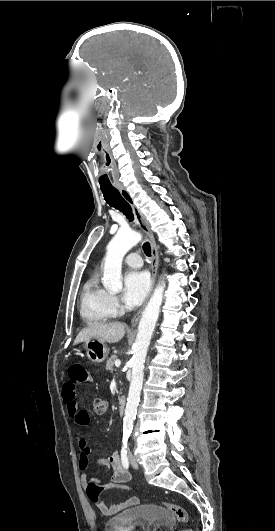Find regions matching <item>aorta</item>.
<instances>
[{"label": "aorta", "mask_w": 275, "mask_h": 531, "mask_svg": "<svg viewBox=\"0 0 275 531\" xmlns=\"http://www.w3.org/2000/svg\"><path fill=\"white\" fill-rule=\"evenodd\" d=\"M139 241H141V235L128 229V231H118L108 243L106 247L107 253L104 257L103 273V285L108 291H120L122 289L121 269L123 259L126 253L132 247H135ZM164 287L163 281L157 285L138 325L131 363L132 377L123 419V431L128 433V435L133 431V421H135L137 415V407L143 385L144 363L155 325L158 321Z\"/></svg>", "instance_id": "aorta-1"}]
</instances>
